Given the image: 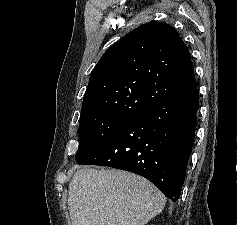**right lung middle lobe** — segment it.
Instances as JSON below:
<instances>
[{"label": "right lung middle lobe", "mask_w": 237, "mask_h": 225, "mask_svg": "<svg viewBox=\"0 0 237 225\" xmlns=\"http://www.w3.org/2000/svg\"><path fill=\"white\" fill-rule=\"evenodd\" d=\"M133 116H95L79 121V148L76 161L87 156L102 142L122 128Z\"/></svg>", "instance_id": "obj_1"}]
</instances>
